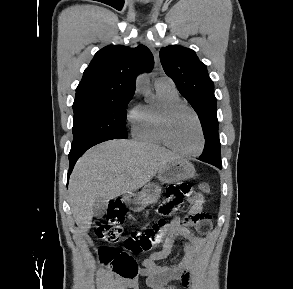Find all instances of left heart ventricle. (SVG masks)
<instances>
[{"label":"left heart ventricle","mask_w":293,"mask_h":289,"mask_svg":"<svg viewBox=\"0 0 293 289\" xmlns=\"http://www.w3.org/2000/svg\"><path fill=\"white\" fill-rule=\"evenodd\" d=\"M170 136L173 143L182 151L193 153L200 146L197 123L187 110H180L173 116L170 124Z\"/></svg>","instance_id":"1"}]
</instances>
